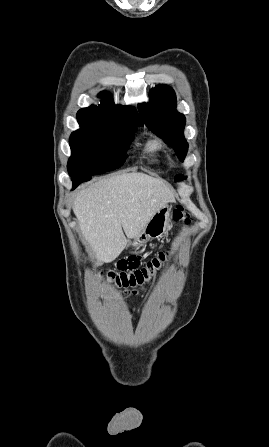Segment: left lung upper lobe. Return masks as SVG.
I'll return each instance as SVG.
<instances>
[{
	"instance_id": "obj_1",
	"label": "left lung upper lobe",
	"mask_w": 269,
	"mask_h": 447,
	"mask_svg": "<svg viewBox=\"0 0 269 447\" xmlns=\"http://www.w3.org/2000/svg\"><path fill=\"white\" fill-rule=\"evenodd\" d=\"M150 99V103L139 106L145 125L168 145L173 146L179 159L183 161L188 150V143L183 135L185 116L176 111L175 92L167 85H158L150 91Z\"/></svg>"
}]
</instances>
